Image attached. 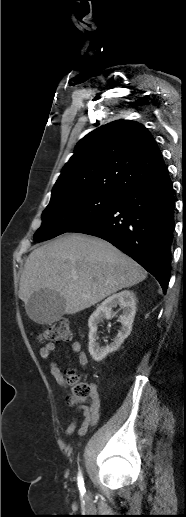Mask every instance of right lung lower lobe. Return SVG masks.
Returning a JSON list of instances; mask_svg holds the SVG:
<instances>
[{"label": "right lung lower lobe", "mask_w": 186, "mask_h": 517, "mask_svg": "<svg viewBox=\"0 0 186 517\" xmlns=\"http://www.w3.org/2000/svg\"><path fill=\"white\" fill-rule=\"evenodd\" d=\"M174 208L172 182L166 173L126 191L113 206L69 232L110 242L151 273L165 294L171 273Z\"/></svg>", "instance_id": "98d812e1"}]
</instances>
